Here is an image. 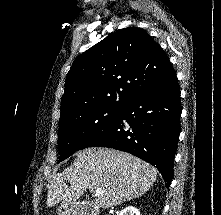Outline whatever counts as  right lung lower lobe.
<instances>
[{"mask_svg":"<svg viewBox=\"0 0 221 215\" xmlns=\"http://www.w3.org/2000/svg\"><path fill=\"white\" fill-rule=\"evenodd\" d=\"M180 87L173 71L149 91L119 109L108 127L86 139L77 151L109 147L131 153L155 166L168 188L180 134Z\"/></svg>","mask_w":221,"mask_h":215,"instance_id":"right-lung-lower-lobe-1","label":"right lung lower lobe"}]
</instances>
